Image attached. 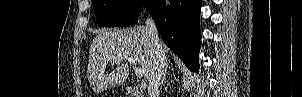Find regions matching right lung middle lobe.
<instances>
[{"mask_svg": "<svg viewBox=\"0 0 302 97\" xmlns=\"http://www.w3.org/2000/svg\"><path fill=\"white\" fill-rule=\"evenodd\" d=\"M149 0H93V9L99 24L125 27L139 16Z\"/></svg>", "mask_w": 302, "mask_h": 97, "instance_id": "right-lung-middle-lobe-1", "label": "right lung middle lobe"}]
</instances>
